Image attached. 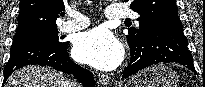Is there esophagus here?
<instances>
[{"label": "esophagus", "instance_id": "esophagus-1", "mask_svg": "<svg viewBox=\"0 0 205 87\" xmlns=\"http://www.w3.org/2000/svg\"><path fill=\"white\" fill-rule=\"evenodd\" d=\"M110 77L106 74H99V82L102 85H107L109 83Z\"/></svg>", "mask_w": 205, "mask_h": 87}]
</instances>
